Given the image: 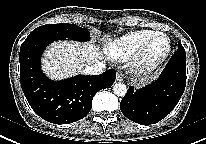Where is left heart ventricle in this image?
Returning <instances> with one entry per match:
<instances>
[{"mask_svg":"<svg viewBox=\"0 0 206 144\" xmlns=\"http://www.w3.org/2000/svg\"><path fill=\"white\" fill-rule=\"evenodd\" d=\"M167 48V40L163 37L156 39L149 49L148 56L150 59H155L162 55Z\"/></svg>","mask_w":206,"mask_h":144,"instance_id":"1","label":"left heart ventricle"}]
</instances>
